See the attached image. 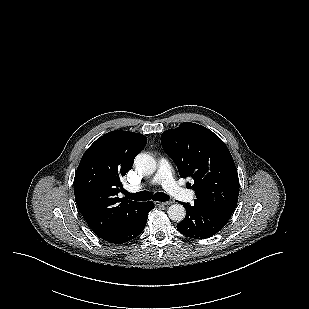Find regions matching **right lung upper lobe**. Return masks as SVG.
Segmentation results:
<instances>
[{
  "mask_svg": "<svg viewBox=\"0 0 309 309\" xmlns=\"http://www.w3.org/2000/svg\"><path fill=\"white\" fill-rule=\"evenodd\" d=\"M147 138L128 131H111L84 153L74 178L77 206L91 230L103 237L116 231L143 202L118 197L121 178L132 167Z\"/></svg>",
  "mask_w": 309,
  "mask_h": 309,
  "instance_id": "cb5924a9",
  "label": "right lung upper lobe"
}]
</instances>
